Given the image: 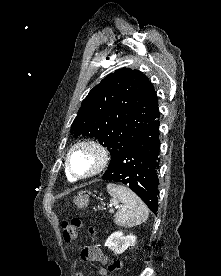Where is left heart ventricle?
<instances>
[{
  "mask_svg": "<svg viewBox=\"0 0 221 276\" xmlns=\"http://www.w3.org/2000/svg\"><path fill=\"white\" fill-rule=\"evenodd\" d=\"M94 155L85 149L75 151L71 156V168L78 175L86 174L95 165Z\"/></svg>",
  "mask_w": 221,
  "mask_h": 276,
  "instance_id": "1",
  "label": "left heart ventricle"
}]
</instances>
